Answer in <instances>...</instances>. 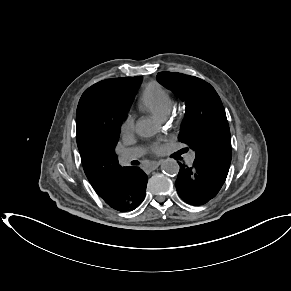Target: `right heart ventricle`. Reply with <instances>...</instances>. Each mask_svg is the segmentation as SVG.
<instances>
[{
    "label": "right heart ventricle",
    "instance_id": "1",
    "mask_svg": "<svg viewBox=\"0 0 291 291\" xmlns=\"http://www.w3.org/2000/svg\"><path fill=\"white\" fill-rule=\"evenodd\" d=\"M139 106L159 119H165L174 106L169 92L159 83L152 81L145 85L139 99Z\"/></svg>",
    "mask_w": 291,
    "mask_h": 291
}]
</instances>
